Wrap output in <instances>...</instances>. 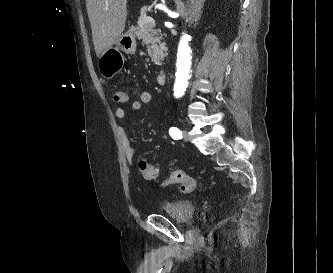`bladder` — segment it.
<instances>
[{"label":"bladder","instance_id":"31cf9c89","mask_svg":"<svg viewBox=\"0 0 333 273\" xmlns=\"http://www.w3.org/2000/svg\"><path fill=\"white\" fill-rule=\"evenodd\" d=\"M161 212L180 225H189L194 218L195 206L189 200H176L162 209Z\"/></svg>","mask_w":333,"mask_h":273}]
</instances>
